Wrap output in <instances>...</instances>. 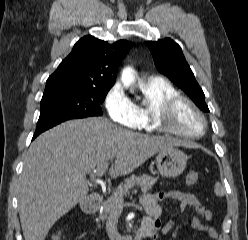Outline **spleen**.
Instances as JSON below:
<instances>
[{
	"mask_svg": "<svg viewBox=\"0 0 248 240\" xmlns=\"http://www.w3.org/2000/svg\"><path fill=\"white\" fill-rule=\"evenodd\" d=\"M215 193H216V195H218V196H223V195H224V191H223V189H222V187H221V184H220L219 182H217V183L215 184Z\"/></svg>",
	"mask_w": 248,
	"mask_h": 240,
	"instance_id": "3e777b00",
	"label": "spleen"
}]
</instances>
